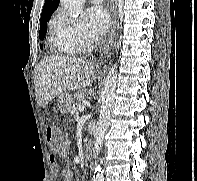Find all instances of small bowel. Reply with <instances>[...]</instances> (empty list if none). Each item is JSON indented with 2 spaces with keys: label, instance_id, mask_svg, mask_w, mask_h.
<instances>
[{
  "label": "small bowel",
  "instance_id": "c3829d8e",
  "mask_svg": "<svg viewBox=\"0 0 197 181\" xmlns=\"http://www.w3.org/2000/svg\"><path fill=\"white\" fill-rule=\"evenodd\" d=\"M68 151H69V145L68 143H64L60 150L61 156L66 157L68 154ZM50 162H51V173L53 176H56L59 171V164L56 161L54 156H50ZM60 176H61V181H73L74 180V172L68 166L62 167Z\"/></svg>",
  "mask_w": 197,
  "mask_h": 181
}]
</instances>
